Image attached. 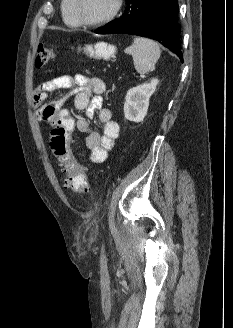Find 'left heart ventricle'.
<instances>
[{"mask_svg": "<svg viewBox=\"0 0 233 328\" xmlns=\"http://www.w3.org/2000/svg\"><path fill=\"white\" fill-rule=\"evenodd\" d=\"M80 12L86 21H98L105 18L114 8L115 0H81Z\"/></svg>", "mask_w": 233, "mask_h": 328, "instance_id": "left-heart-ventricle-1", "label": "left heart ventricle"}]
</instances>
